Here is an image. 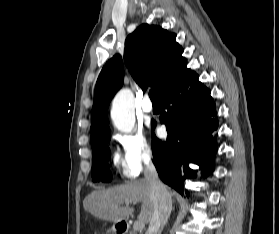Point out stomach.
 <instances>
[{"instance_id":"stomach-1","label":"stomach","mask_w":279,"mask_h":234,"mask_svg":"<svg viewBox=\"0 0 279 234\" xmlns=\"http://www.w3.org/2000/svg\"><path fill=\"white\" fill-rule=\"evenodd\" d=\"M116 226H117V223H115V224L108 230V232L116 233V232H117Z\"/></svg>"}]
</instances>
